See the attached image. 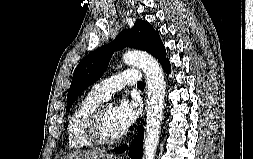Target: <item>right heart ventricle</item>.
I'll return each instance as SVG.
<instances>
[{
    "mask_svg": "<svg viewBox=\"0 0 253 159\" xmlns=\"http://www.w3.org/2000/svg\"><path fill=\"white\" fill-rule=\"evenodd\" d=\"M103 101L99 96L90 92L75 106L67 125V140L71 149L92 148L93 144L86 136V125L93 111Z\"/></svg>",
    "mask_w": 253,
    "mask_h": 159,
    "instance_id": "e07e8e85",
    "label": "right heart ventricle"
}]
</instances>
